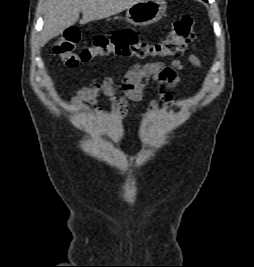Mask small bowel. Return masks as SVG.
Here are the masks:
<instances>
[{"instance_id":"small-bowel-1","label":"small bowel","mask_w":254,"mask_h":267,"mask_svg":"<svg viewBox=\"0 0 254 267\" xmlns=\"http://www.w3.org/2000/svg\"><path fill=\"white\" fill-rule=\"evenodd\" d=\"M187 61L194 67H200L199 59L189 54ZM183 65L179 60H174L170 65L164 63L136 64L122 74V85L117 87L113 78H106L102 82L80 88L72 97V104L82 110L84 103H90L99 111L97 104L100 93L112 102V116L117 120H125L128 113L129 102H139L145 95L150 81L166 87H175L181 80ZM174 103L173 96L164 89L158 90V95L149 102L147 110L138 119H146L163 107L169 109Z\"/></svg>"}]
</instances>
